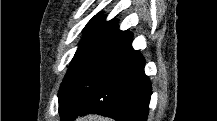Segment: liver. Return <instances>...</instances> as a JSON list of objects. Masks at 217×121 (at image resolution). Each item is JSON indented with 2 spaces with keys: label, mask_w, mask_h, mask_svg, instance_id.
Returning <instances> with one entry per match:
<instances>
[{
  "label": "liver",
  "mask_w": 217,
  "mask_h": 121,
  "mask_svg": "<svg viewBox=\"0 0 217 121\" xmlns=\"http://www.w3.org/2000/svg\"><path fill=\"white\" fill-rule=\"evenodd\" d=\"M80 121H110L108 118L99 117L96 115H88L82 118H78Z\"/></svg>",
  "instance_id": "liver-1"
}]
</instances>
